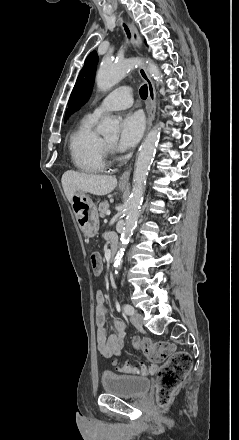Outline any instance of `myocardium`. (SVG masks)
Returning <instances> with one entry per match:
<instances>
[{
	"label": "myocardium",
	"instance_id": "obj_1",
	"mask_svg": "<svg viewBox=\"0 0 239 440\" xmlns=\"http://www.w3.org/2000/svg\"><path fill=\"white\" fill-rule=\"evenodd\" d=\"M101 142L105 157H109L112 153V145L106 143L104 140H101Z\"/></svg>",
	"mask_w": 239,
	"mask_h": 440
}]
</instances>
